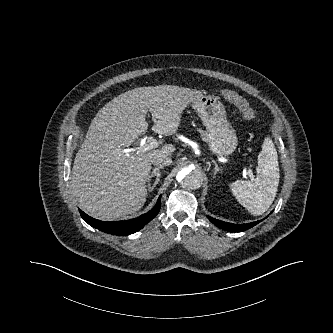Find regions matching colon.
Masks as SVG:
<instances>
[{
	"instance_id": "colon-1",
	"label": "colon",
	"mask_w": 333,
	"mask_h": 333,
	"mask_svg": "<svg viewBox=\"0 0 333 333\" xmlns=\"http://www.w3.org/2000/svg\"><path fill=\"white\" fill-rule=\"evenodd\" d=\"M220 93L224 99L235 105L244 119L254 120L256 118V113L250 103L239 94L229 89H222Z\"/></svg>"
}]
</instances>
